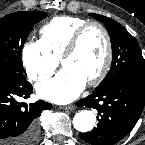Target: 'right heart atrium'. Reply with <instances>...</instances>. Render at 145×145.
Here are the masks:
<instances>
[{
    "instance_id": "1",
    "label": "right heart atrium",
    "mask_w": 145,
    "mask_h": 145,
    "mask_svg": "<svg viewBox=\"0 0 145 145\" xmlns=\"http://www.w3.org/2000/svg\"><path fill=\"white\" fill-rule=\"evenodd\" d=\"M21 59L31 81L51 76L58 65V59L51 56L40 41H27L22 47Z\"/></svg>"
}]
</instances>
